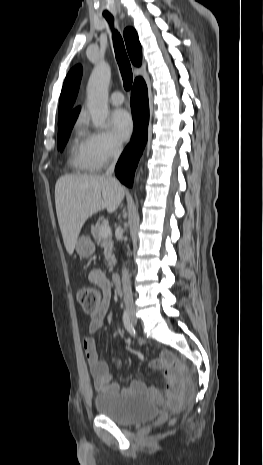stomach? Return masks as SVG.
I'll return each mask as SVG.
<instances>
[{"mask_svg": "<svg viewBox=\"0 0 263 465\" xmlns=\"http://www.w3.org/2000/svg\"><path fill=\"white\" fill-rule=\"evenodd\" d=\"M75 249L81 258H88L94 253L95 245L89 236L81 235L77 239Z\"/></svg>", "mask_w": 263, "mask_h": 465, "instance_id": "obj_1", "label": "stomach"}]
</instances>
